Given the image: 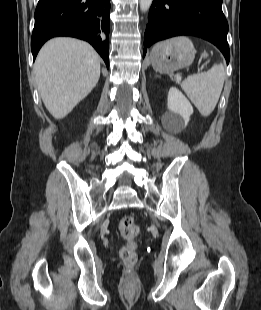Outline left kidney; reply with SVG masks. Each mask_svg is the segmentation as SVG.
I'll return each instance as SVG.
<instances>
[{"mask_svg":"<svg viewBox=\"0 0 261 310\" xmlns=\"http://www.w3.org/2000/svg\"><path fill=\"white\" fill-rule=\"evenodd\" d=\"M168 112L163 116V123L169 130H179L186 126L193 114V107L183 93L171 87L168 93Z\"/></svg>","mask_w":261,"mask_h":310,"instance_id":"obj_1","label":"left kidney"}]
</instances>
